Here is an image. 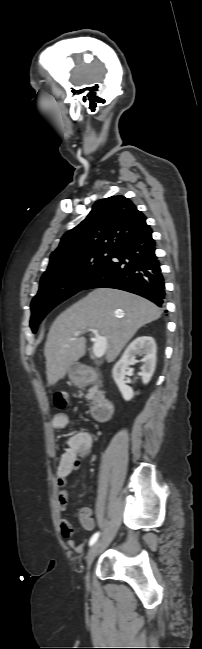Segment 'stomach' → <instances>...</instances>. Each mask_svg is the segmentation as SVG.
<instances>
[{
  "label": "stomach",
  "instance_id": "0dacf381",
  "mask_svg": "<svg viewBox=\"0 0 202 649\" xmlns=\"http://www.w3.org/2000/svg\"><path fill=\"white\" fill-rule=\"evenodd\" d=\"M68 372V377L70 381L76 385L81 383V376L79 373V368L76 365L70 366V368L67 370Z\"/></svg>",
  "mask_w": 202,
  "mask_h": 649
}]
</instances>
